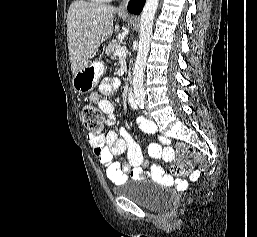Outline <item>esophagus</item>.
Listing matches in <instances>:
<instances>
[{
	"mask_svg": "<svg viewBox=\"0 0 257 237\" xmlns=\"http://www.w3.org/2000/svg\"><path fill=\"white\" fill-rule=\"evenodd\" d=\"M127 2H128V0H123V2L120 4L118 10L119 11H125L126 10V6H127Z\"/></svg>",
	"mask_w": 257,
	"mask_h": 237,
	"instance_id": "1",
	"label": "esophagus"
}]
</instances>
